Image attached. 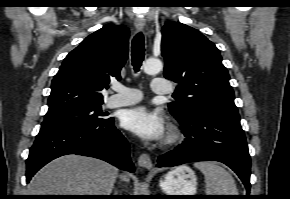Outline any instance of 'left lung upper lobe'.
<instances>
[{"instance_id":"1","label":"left lung upper lobe","mask_w":290,"mask_h":199,"mask_svg":"<svg viewBox=\"0 0 290 199\" xmlns=\"http://www.w3.org/2000/svg\"><path fill=\"white\" fill-rule=\"evenodd\" d=\"M162 56L166 61L164 76L178 84L176 93L180 95L168 104L178 121L197 110L240 119L220 52L203 34L182 23H166Z\"/></svg>"}]
</instances>
